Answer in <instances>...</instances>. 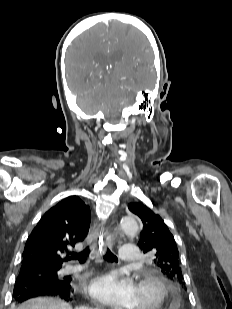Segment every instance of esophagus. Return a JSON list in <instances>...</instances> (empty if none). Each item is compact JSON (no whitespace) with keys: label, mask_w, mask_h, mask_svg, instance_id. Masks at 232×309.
Returning a JSON list of instances; mask_svg holds the SVG:
<instances>
[{"label":"esophagus","mask_w":232,"mask_h":309,"mask_svg":"<svg viewBox=\"0 0 232 309\" xmlns=\"http://www.w3.org/2000/svg\"><path fill=\"white\" fill-rule=\"evenodd\" d=\"M112 247L109 230L103 224L96 227L92 233V254L98 257Z\"/></svg>","instance_id":"34e87169"}]
</instances>
